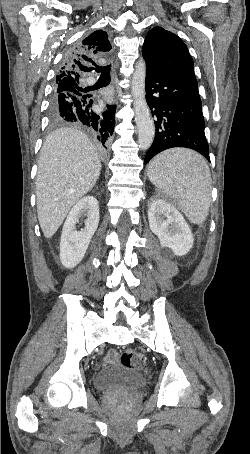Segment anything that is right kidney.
Listing matches in <instances>:
<instances>
[{
  "mask_svg": "<svg viewBox=\"0 0 250 454\" xmlns=\"http://www.w3.org/2000/svg\"><path fill=\"white\" fill-rule=\"evenodd\" d=\"M85 215V227L76 230L79 218ZM99 223L98 201L93 196L80 199L69 212L64 223L60 240V261L66 268H73L81 262Z\"/></svg>",
  "mask_w": 250,
  "mask_h": 454,
  "instance_id": "ca27d5eb",
  "label": "right kidney"
}]
</instances>
